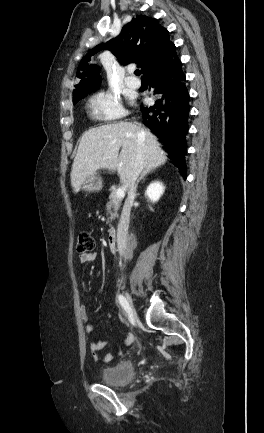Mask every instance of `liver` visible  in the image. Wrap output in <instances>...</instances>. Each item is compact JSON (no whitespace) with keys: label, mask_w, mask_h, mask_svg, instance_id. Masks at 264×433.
Wrapping results in <instances>:
<instances>
[{"label":"liver","mask_w":264,"mask_h":433,"mask_svg":"<svg viewBox=\"0 0 264 433\" xmlns=\"http://www.w3.org/2000/svg\"><path fill=\"white\" fill-rule=\"evenodd\" d=\"M141 130L144 136L139 139ZM139 150L143 171L150 172L167 160L156 136L135 123L120 121L89 129L81 137L72 165L71 185L74 192L78 193L86 178L95 175L99 169L117 170L121 182L128 188Z\"/></svg>","instance_id":"liver-1"}]
</instances>
